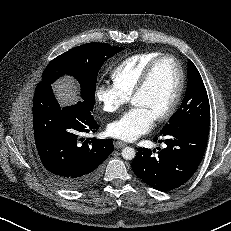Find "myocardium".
Returning <instances> with one entry per match:
<instances>
[{
	"mask_svg": "<svg viewBox=\"0 0 231 231\" xmlns=\"http://www.w3.org/2000/svg\"><path fill=\"white\" fill-rule=\"evenodd\" d=\"M164 59H171L175 62L177 69H178L179 78H178V86H177L175 95L173 97V100L171 104L169 105V107L162 114H160L159 116L155 118L157 122H161V121H164L170 118L175 113L181 101L184 88H185V71H184V67L181 61L172 54H168V53L160 54L147 65V67L145 68V70L143 71L140 77L139 82L137 83L135 89L133 90L131 94V101H132L138 94H140L145 89V87L147 86L150 80V77L152 75V72L155 66Z\"/></svg>",
	"mask_w": 231,
	"mask_h": 231,
	"instance_id": "myocardium-1",
	"label": "myocardium"
}]
</instances>
